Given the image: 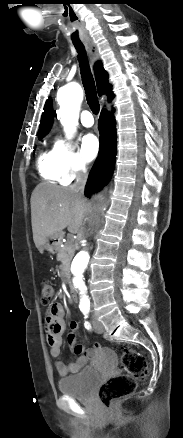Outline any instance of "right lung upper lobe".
Masks as SVG:
<instances>
[{"instance_id": "cb5924a9", "label": "right lung upper lobe", "mask_w": 183, "mask_h": 438, "mask_svg": "<svg viewBox=\"0 0 183 438\" xmlns=\"http://www.w3.org/2000/svg\"><path fill=\"white\" fill-rule=\"evenodd\" d=\"M95 77H96L99 96L107 93L108 100L111 101L114 95L113 93L110 92L111 87L108 82V73L104 70L100 62L95 64ZM52 122H53V110H52L51 98H49L47 99L44 106V112L42 114L38 136L46 135L51 128Z\"/></svg>"}]
</instances>
